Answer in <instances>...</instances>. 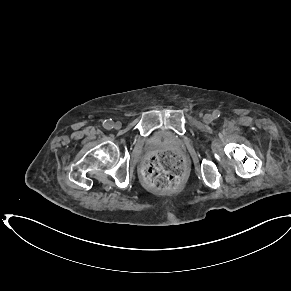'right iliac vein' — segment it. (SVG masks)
I'll return each mask as SVG.
<instances>
[{
  "mask_svg": "<svg viewBox=\"0 0 291 291\" xmlns=\"http://www.w3.org/2000/svg\"><path fill=\"white\" fill-rule=\"evenodd\" d=\"M113 126H114L115 129L118 130V129L121 128L122 124H121V122L117 121L116 123L113 124Z\"/></svg>",
  "mask_w": 291,
  "mask_h": 291,
  "instance_id": "right-iliac-vein-1",
  "label": "right iliac vein"
}]
</instances>
